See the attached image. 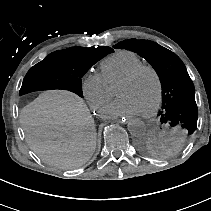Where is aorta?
<instances>
[{"label":"aorta","instance_id":"762f6f07","mask_svg":"<svg viewBox=\"0 0 211 211\" xmlns=\"http://www.w3.org/2000/svg\"><path fill=\"white\" fill-rule=\"evenodd\" d=\"M127 126L130 134L135 137L143 136L146 132V126L140 119H131Z\"/></svg>","mask_w":211,"mask_h":211}]
</instances>
